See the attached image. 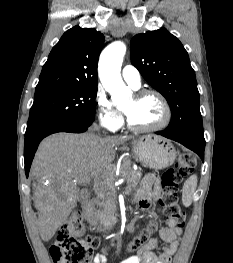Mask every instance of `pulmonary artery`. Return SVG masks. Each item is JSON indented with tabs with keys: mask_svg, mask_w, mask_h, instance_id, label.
<instances>
[{
	"mask_svg": "<svg viewBox=\"0 0 233 263\" xmlns=\"http://www.w3.org/2000/svg\"><path fill=\"white\" fill-rule=\"evenodd\" d=\"M122 77L133 89H138L141 86V75L138 69L132 65L123 67Z\"/></svg>",
	"mask_w": 233,
	"mask_h": 263,
	"instance_id": "obj_1",
	"label": "pulmonary artery"
}]
</instances>
